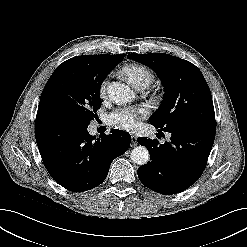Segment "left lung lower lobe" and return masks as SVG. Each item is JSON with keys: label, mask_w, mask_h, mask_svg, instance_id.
I'll return each mask as SVG.
<instances>
[{"label": "left lung lower lobe", "mask_w": 247, "mask_h": 247, "mask_svg": "<svg viewBox=\"0 0 247 247\" xmlns=\"http://www.w3.org/2000/svg\"><path fill=\"white\" fill-rule=\"evenodd\" d=\"M215 131L200 127L166 131L171 133V138L164 144H159L156 139L139 137L138 143L149 150L151 157V161L137 171L140 181L161 194L186 190L205 169Z\"/></svg>", "instance_id": "0a47b994"}]
</instances>
